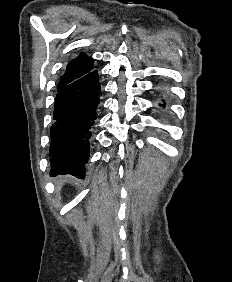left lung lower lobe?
<instances>
[{"instance_id":"0a47b994","label":"left lung lower lobe","mask_w":232,"mask_h":282,"mask_svg":"<svg viewBox=\"0 0 232 282\" xmlns=\"http://www.w3.org/2000/svg\"><path fill=\"white\" fill-rule=\"evenodd\" d=\"M161 106L165 107V102H163V104H161Z\"/></svg>"}]
</instances>
